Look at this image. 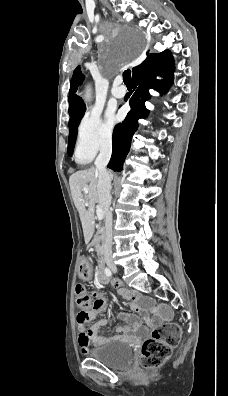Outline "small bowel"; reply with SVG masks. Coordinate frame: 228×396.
Listing matches in <instances>:
<instances>
[{"instance_id":"1","label":"small bowel","mask_w":228,"mask_h":396,"mask_svg":"<svg viewBox=\"0 0 228 396\" xmlns=\"http://www.w3.org/2000/svg\"><path fill=\"white\" fill-rule=\"evenodd\" d=\"M80 273L83 277H89L91 275L90 264L85 259L81 262ZM105 279V281L99 280L101 283H107L108 278L106 276ZM112 285L119 296L129 301L130 307L138 315L126 312H121L119 314V318L128 323V325L116 328V331L121 335H99V329L109 324V320L106 318L96 321L89 329L79 327L78 343L83 351H86L91 344H101L111 340L125 339L130 335H142L153 325L155 319L168 316L167 309L159 308L155 312V317L150 318V311L154 309L153 302L150 299L128 291L118 280H114ZM94 297V306L90 312V319H94L107 308V299L103 294L95 292ZM142 321H144L146 325H143Z\"/></svg>"}]
</instances>
